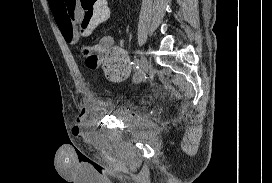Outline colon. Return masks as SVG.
Masks as SVG:
<instances>
[{"label": "colon", "instance_id": "1", "mask_svg": "<svg viewBox=\"0 0 272 183\" xmlns=\"http://www.w3.org/2000/svg\"><path fill=\"white\" fill-rule=\"evenodd\" d=\"M66 14L68 22L79 29L81 33H91L98 25L105 22L109 16L106 0H67ZM78 13V17H76ZM86 64L96 68L100 64H109L112 58L102 56L98 48L86 49Z\"/></svg>", "mask_w": 272, "mask_h": 183}]
</instances>
